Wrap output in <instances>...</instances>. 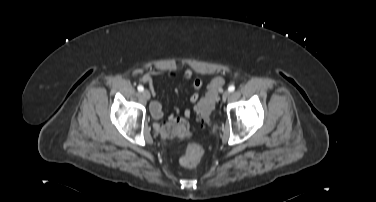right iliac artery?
Instances as JSON below:
<instances>
[{
    "mask_svg": "<svg viewBox=\"0 0 376 202\" xmlns=\"http://www.w3.org/2000/svg\"><path fill=\"white\" fill-rule=\"evenodd\" d=\"M137 89H138V91H140V92H142V91L144 90V88H143L142 85H139V86L137 87Z\"/></svg>",
    "mask_w": 376,
    "mask_h": 202,
    "instance_id": "1",
    "label": "right iliac artery"
}]
</instances>
